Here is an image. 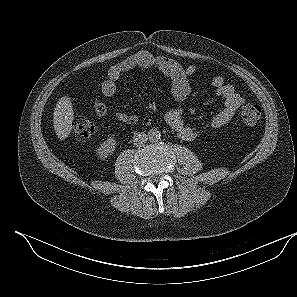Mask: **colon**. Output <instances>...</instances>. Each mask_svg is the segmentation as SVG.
Segmentation results:
<instances>
[{
    "instance_id": "obj_1",
    "label": "colon",
    "mask_w": 297,
    "mask_h": 297,
    "mask_svg": "<svg viewBox=\"0 0 297 297\" xmlns=\"http://www.w3.org/2000/svg\"><path fill=\"white\" fill-rule=\"evenodd\" d=\"M262 110L259 105L247 103L239 111L240 121L245 126H255L261 119ZM76 138L86 139L96 131V124L84 116H78L73 121Z\"/></svg>"
}]
</instances>
